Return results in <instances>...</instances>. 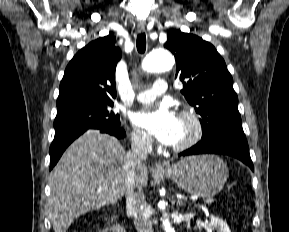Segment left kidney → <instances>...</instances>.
<instances>
[{"mask_svg":"<svg viewBox=\"0 0 289 232\" xmlns=\"http://www.w3.org/2000/svg\"><path fill=\"white\" fill-rule=\"evenodd\" d=\"M208 229L209 232H212V230H216L217 232H231L227 223L223 221V219H220L219 217H216L214 215H211Z\"/></svg>","mask_w":289,"mask_h":232,"instance_id":"obj_1","label":"left kidney"}]
</instances>
